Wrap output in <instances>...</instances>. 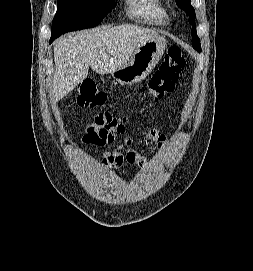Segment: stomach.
<instances>
[{"instance_id":"obj_1","label":"stomach","mask_w":253,"mask_h":271,"mask_svg":"<svg viewBox=\"0 0 253 271\" xmlns=\"http://www.w3.org/2000/svg\"><path fill=\"white\" fill-rule=\"evenodd\" d=\"M166 46L167 41L161 36L142 41L127 63L112 72V77L123 85L140 82L149 75L159 62Z\"/></svg>"}]
</instances>
